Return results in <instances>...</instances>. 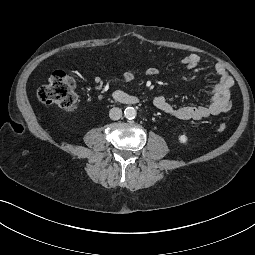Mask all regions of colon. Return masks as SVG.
I'll list each match as a JSON object with an SVG mask.
<instances>
[{
  "label": "colon",
  "instance_id": "colon-1",
  "mask_svg": "<svg viewBox=\"0 0 255 255\" xmlns=\"http://www.w3.org/2000/svg\"><path fill=\"white\" fill-rule=\"evenodd\" d=\"M37 96L42 103L60 107L67 112L74 111L77 106L74 81L63 71L54 72L48 83L42 85L38 89ZM217 129L220 132H224L226 130V125L220 123Z\"/></svg>",
  "mask_w": 255,
  "mask_h": 255
}]
</instances>
